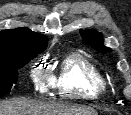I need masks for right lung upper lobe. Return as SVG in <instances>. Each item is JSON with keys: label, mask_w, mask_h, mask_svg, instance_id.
Returning a JSON list of instances; mask_svg holds the SVG:
<instances>
[{"label": "right lung upper lobe", "mask_w": 131, "mask_h": 115, "mask_svg": "<svg viewBox=\"0 0 131 115\" xmlns=\"http://www.w3.org/2000/svg\"><path fill=\"white\" fill-rule=\"evenodd\" d=\"M46 36L32 32L28 28H16L0 32V65L25 52L41 53L46 49Z\"/></svg>", "instance_id": "right-lung-upper-lobe-1"}]
</instances>
